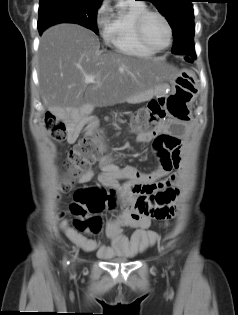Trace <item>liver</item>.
<instances>
[{
    "instance_id": "6515ba94",
    "label": "liver",
    "mask_w": 238,
    "mask_h": 315,
    "mask_svg": "<svg viewBox=\"0 0 238 315\" xmlns=\"http://www.w3.org/2000/svg\"><path fill=\"white\" fill-rule=\"evenodd\" d=\"M38 57L43 106L61 119L85 104L109 106L140 95L169 77L160 59L100 50L97 36L76 24L44 31ZM89 75L95 76L94 82H85Z\"/></svg>"
}]
</instances>
